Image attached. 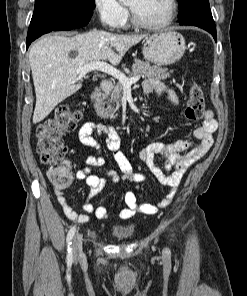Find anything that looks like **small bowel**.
Segmentation results:
<instances>
[{
    "label": "small bowel",
    "instance_id": "obj_1",
    "mask_svg": "<svg viewBox=\"0 0 247 296\" xmlns=\"http://www.w3.org/2000/svg\"><path fill=\"white\" fill-rule=\"evenodd\" d=\"M143 90L146 94L156 91L172 104L177 103L175 92L156 79H146L143 83ZM217 128L218 123L214 118L213 111L207 109L202 115L201 125L193 131L197 139L196 142L180 140L170 144L155 143L139 151V158L148 167L150 173L162 185L171 188V191L161 201L157 204H150L141 202L143 195L140 192V185L146 182L148 178L144 174L133 171L130 161L120 150V140L116 128L102 122L90 121L84 123L78 131V137L82 144L94 148L97 154L86 157L84 166L75 173L76 178L83 180L89 187L87 199L82 206L83 210L86 213H93L98 220L109 218L106 207L95 206L90 202V199L99 193L106 184L105 178L92 172L93 168L102 167L106 163L102 155V143L106 149L112 152L113 159L121 171V174H119L116 170L107 168V177L113 182L126 181L135 185L136 188V190H129L125 193V207L119 213L120 219L127 220L137 213L155 215L172 203L186 170L208 152L213 144L212 135ZM94 134L102 138V143L93 137ZM157 156L165 160L164 170L156 164L155 158ZM56 198L70 220L78 223H87L90 220L87 214H79L74 210L62 191L56 192Z\"/></svg>",
    "mask_w": 247,
    "mask_h": 296
}]
</instances>
